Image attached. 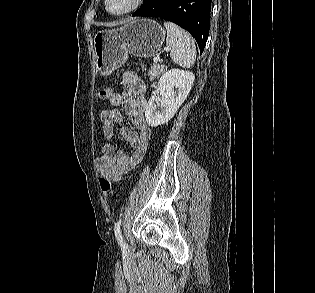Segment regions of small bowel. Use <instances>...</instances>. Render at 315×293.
Instances as JSON below:
<instances>
[{
  "mask_svg": "<svg viewBox=\"0 0 315 293\" xmlns=\"http://www.w3.org/2000/svg\"><path fill=\"white\" fill-rule=\"evenodd\" d=\"M121 84L124 92H113L108 98L112 108L101 112L103 134L107 139L113 138L115 124L124 119L120 107L133 117L134 129L123 126L120 134L132 146L131 152L116 149L115 145L107 142L102 147V153L97 158V167L102 178L111 181L120 180L132 170L142 159L152 130L145 118L146 108V84L134 72L128 71L122 75Z\"/></svg>",
  "mask_w": 315,
  "mask_h": 293,
  "instance_id": "c3829d8e",
  "label": "small bowel"
}]
</instances>
